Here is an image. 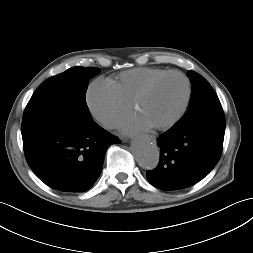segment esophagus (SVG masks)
Returning a JSON list of instances; mask_svg holds the SVG:
<instances>
[{"label": "esophagus", "mask_w": 253, "mask_h": 253, "mask_svg": "<svg viewBox=\"0 0 253 253\" xmlns=\"http://www.w3.org/2000/svg\"><path fill=\"white\" fill-rule=\"evenodd\" d=\"M147 138L149 139H155L153 136L147 135Z\"/></svg>", "instance_id": "esophagus-1"}]
</instances>
